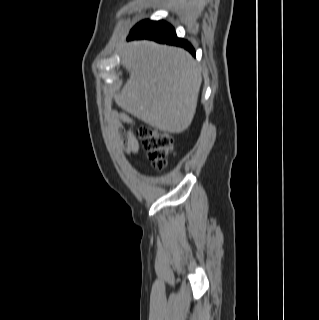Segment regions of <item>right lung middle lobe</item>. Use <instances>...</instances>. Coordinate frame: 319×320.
<instances>
[{
    "label": "right lung middle lobe",
    "mask_w": 319,
    "mask_h": 320,
    "mask_svg": "<svg viewBox=\"0 0 319 320\" xmlns=\"http://www.w3.org/2000/svg\"><path fill=\"white\" fill-rule=\"evenodd\" d=\"M144 22H146V21H142V22L138 23L135 27L141 25V24L144 23ZM135 27H134V28H135Z\"/></svg>",
    "instance_id": "dd1d6c3e"
}]
</instances>
